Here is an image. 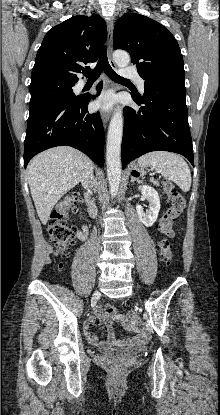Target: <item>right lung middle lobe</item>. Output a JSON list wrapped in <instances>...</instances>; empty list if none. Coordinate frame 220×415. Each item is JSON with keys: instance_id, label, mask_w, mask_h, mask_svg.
<instances>
[{"instance_id": "1", "label": "right lung middle lobe", "mask_w": 220, "mask_h": 415, "mask_svg": "<svg viewBox=\"0 0 220 415\" xmlns=\"http://www.w3.org/2000/svg\"><path fill=\"white\" fill-rule=\"evenodd\" d=\"M75 82L46 78L31 81L29 103L30 112L60 100L75 98L72 87Z\"/></svg>"}]
</instances>
